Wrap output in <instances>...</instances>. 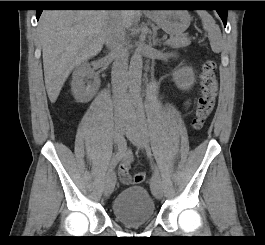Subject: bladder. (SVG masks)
Masks as SVG:
<instances>
[{
    "label": "bladder",
    "instance_id": "1",
    "mask_svg": "<svg viewBox=\"0 0 265 245\" xmlns=\"http://www.w3.org/2000/svg\"><path fill=\"white\" fill-rule=\"evenodd\" d=\"M113 216L124 226L146 225L155 218L156 207L148 191L139 185L129 186L114 199Z\"/></svg>",
    "mask_w": 265,
    "mask_h": 245
}]
</instances>
